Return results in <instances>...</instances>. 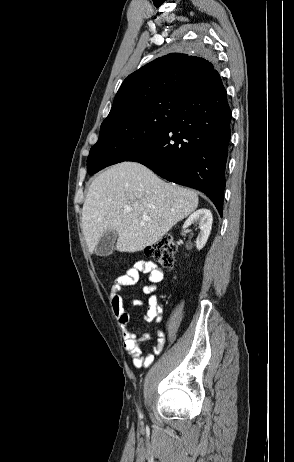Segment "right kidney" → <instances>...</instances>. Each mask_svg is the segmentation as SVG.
<instances>
[{
	"label": "right kidney",
	"instance_id": "1",
	"mask_svg": "<svg viewBox=\"0 0 294 462\" xmlns=\"http://www.w3.org/2000/svg\"><path fill=\"white\" fill-rule=\"evenodd\" d=\"M212 221L213 218L210 210L202 208L192 213L183 225V230H185L191 224H199L200 232L196 240V246L198 250H201L208 240L212 228Z\"/></svg>",
	"mask_w": 294,
	"mask_h": 462
}]
</instances>
